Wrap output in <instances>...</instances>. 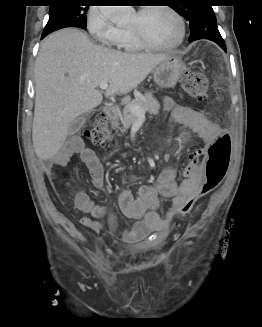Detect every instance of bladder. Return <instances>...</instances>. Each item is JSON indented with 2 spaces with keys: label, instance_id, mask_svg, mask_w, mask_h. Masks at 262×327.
Wrapping results in <instances>:
<instances>
[{
  "label": "bladder",
  "instance_id": "obj_1",
  "mask_svg": "<svg viewBox=\"0 0 262 327\" xmlns=\"http://www.w3.org/2000/svg\"><path fill=\"white\" fill-rule=\"evenodd\" d=\"M137 250H144V251H146V250H150L151 249V247L149 246V245H147V244H141V245H139V246H136L135 247Z\"/></svg>",
  "mask_w": 262,
  "mask_h": 327
}]
</instances>
